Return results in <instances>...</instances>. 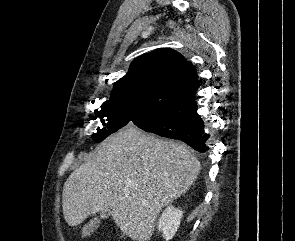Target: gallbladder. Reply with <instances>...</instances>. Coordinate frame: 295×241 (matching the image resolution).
I'll return each mask as SVG.
<instances>
[{"instance_id":"1","label":"gallbladder","mask_w":295,"mask_h":241,"mask_svg":"<svg viewBox=\"0 0 295 241\" xmlns=\"http://www.w3.org/2000/svg\"><path fill=\"white\" fill-rule=\"evenodd\" d=\"M110 215H111V210L108 209V210H104V211L102 212L101 217H102V218H107V217L110 216Z\"/></svg>"}]
</instances>
